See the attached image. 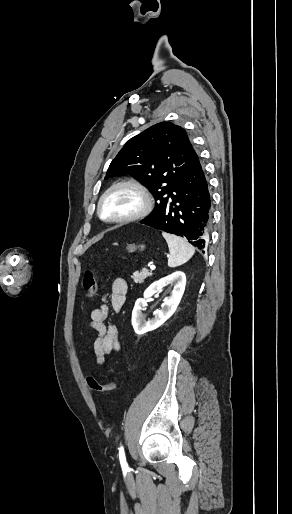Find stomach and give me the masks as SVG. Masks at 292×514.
<instances>
[{
	"label": "stomach",
	"mask_w": 292,
	"mask_h": 514,
	"mask_svg": "<svg viewBox=\"0 0 292 514\" xmlns=\"http://www.w3.org/2000/svg\"><path fill=\"white\" fill-rule=\"evenodd\" d=\"M136 248H145V246H134V244H128L127 246V250H129V252H135Z\"/></svg>",
	"instance_id": "0dacf381"
}]
</instances>
